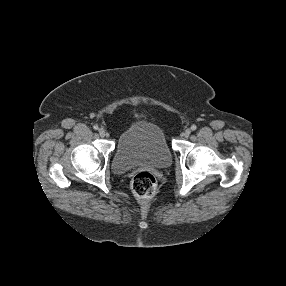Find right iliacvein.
<instances>
[{"label": "right iliac vein", "mask_w": 286, "mask_h": 286, "mask_svg": "<svg viewBox=\"0 0 286 286\" xmlns=\"http://www.w3.org/2000/svg\"><path fill=\"white\" fill-rule=\"evenodd\" d=\"M99 135H100V137H105L106 131H105L104 128H100V129H99Z\"/></svg>", "instance_id": "1"}]
</instances>
